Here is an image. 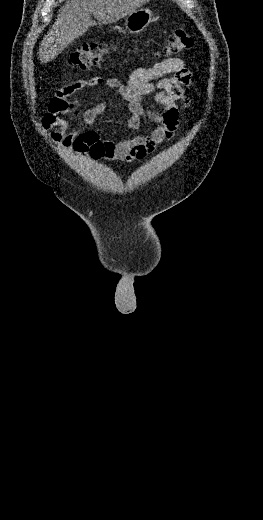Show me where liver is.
I'll use <instances>...</instances> for the list:
<instances>
[{
  "label": "liver",
  "instance_id": "1",
  "mask_svg": "<svg viewBox=\"0 0 263 520\" xmlns=\"http://www.w3.org/2000/svg\"><path fill=\"white\" fill-rule=\"evenodd\" d=\"M150 0H68L57 15L52 29L39 48L41 63H48L69 44L96 25L93 15L102 24L115 23Z\"/></svg>",
  "mask_w": 263,
  "mask_h": 520
}]
</instances>
